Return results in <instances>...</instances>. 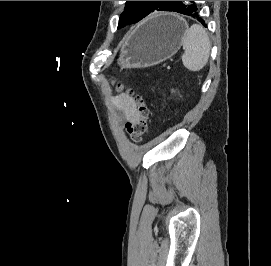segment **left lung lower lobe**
<instances>
[{"label":"left lung lower lobe","mask_w":271,"mask_h":266,"mask_svg":"<svg viewBox=\"0 0 271 266\" xmlns=\"http://www.w3.org/2000/svg\"><path fill=\"white\" fill-rule=\"evenodd\" d=\"M168 11L178 12L193 17L206 27L205 21L199 16V9L195 1H176Z\"/></svg>","instance_id":"obj_1"}]
</instances>
